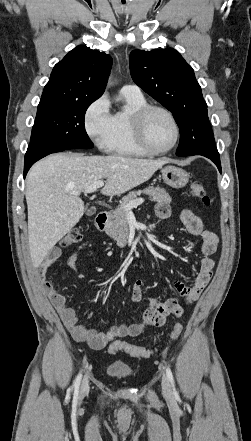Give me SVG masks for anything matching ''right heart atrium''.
I'll use <instances>...</instances> for the list:
<instances>
[{"label": "right heart atrium", "instance_id": "right-heart-atrium-1", "mask_svg": "<svg viewBox=\"0 0 251 441\" xmlns=\"http://www.w3.org/2000/svg\"><path fill=\"white\" fill-rule=\"evenodd\" d=\"M84 128L89 138L100 149H106L111 131V113L106 97L94 100L84 113Z\"/></svg>", "mask_w": 251, "mask_h": 441}]
</instances>
